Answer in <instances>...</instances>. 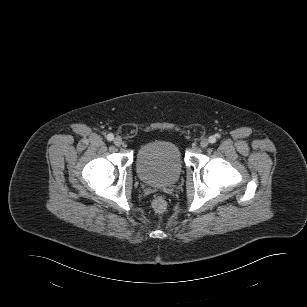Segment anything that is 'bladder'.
<instances>
[{
	"instance_id": "31cf9c89",
	"label": "bladder",
	"mask_w": 307,
	"mask_h": 307,
	"mask_svg": "<svg viewBox=\"0 0 307 307\" xmlns=\"http://www.w3.org/2000/svg\"><path fill=\"white\" fill-rule=\"evenodd\" d=\"M184 167L180 147L173 141L155 140L137 152L135 168L141 181L149 185H170L182 174Z\"/></svg>"
}]
</instances>
